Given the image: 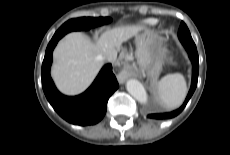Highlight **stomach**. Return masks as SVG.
<instances>
[{
  "label": "stomach",
  "mask_w": 230,
  "mask_h": 155,
  "mask_svg": "<svg viewBox=\"0 0 230 155\" xmlns=\"http://www.w3.org/2000/svg\"><path fill=\"white\" fill-rule=\"evenodd\" d=\"M136 47L138 59H151L162 55L164 52L158 35L149 30H145L142 34L136 36Z\"/></svg>",
  "instance_id": "1"
}]
</instances>
